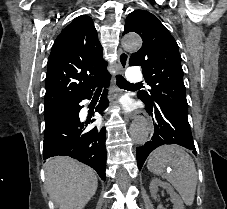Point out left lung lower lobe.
Instances as JSON below:
<instances>
[{
    "label": "left lung lower lobe",
    "mask_w": 227,
    "mask_h": 209,
    "mask_svg": "<svg viewBox=\"0 0 227 209\" xmlns=\"http://www.w3.org/2000/svg\"><path fill=\"white\" fill-rule=\"evenodd\" d=\"M152 117L155 133L151 141L137 148V164L141 170L148 155L161 145L177 144L196 154L187 114L178 111L167 103L146 106Z\"/></svg>",
    "instance_id": "obj_1"
}]
</instances>
